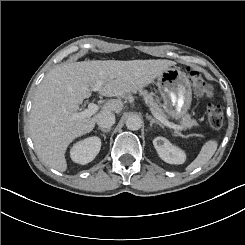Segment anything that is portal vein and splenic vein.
Masks as SVG:
<instances>
[{
    "label": "portal vein and splenic vein",
    "instance_id": "18ae733b",
    "mask_svg": "<svg viewBox=\"0 0 245 245\" xmlns=\"http://www.w3.org/2000/svg\"><path fill=\"white\" fill-rule=\"evenodd\" d=\"M102 86V82L101 81H98L92 88L93 91H99L100 88ZM99 110V107L94 104V103H90L88 105V109H85L84 111L82 112H79V113H74L72 115V119H84V118H88V117H91L92 115H94L97 111ZM153 116L158 119L161 123H163L165 126H168L170 128H173L175 130H182L183 127L180 126V125H176L172 122H169L167 119L163 118L159 113L151 110Z\"/></svg>",
    "mask_w": 245,
    "mask_h": 245
}]
</instances>
